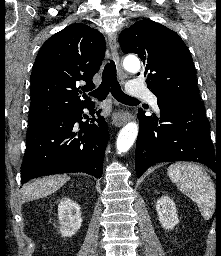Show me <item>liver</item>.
<instances>
[{"label": "liver", "instance_id": "liver-1", "mask_svg": "<svg viewBox=\"0 0 221 256\" xmlns=\"http://www.w3.org/2000/svg\"><path fill=\"white\" fill-rule=\"evenodd\" d=\"M70 179L67 175H52L27 183L21 189L22 200L31 201L50 195Z\"/></svg>", "mask_w": 221, "mask_h": 256}]
</instances>
